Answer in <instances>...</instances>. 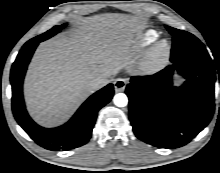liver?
Segmentation results:
<instances>
[{
  "mask_svg": "<svg viewBox=\"0 0 220 173\" xmlns=\"http://www.w3.org/2000/svg\"><path fill=\"white\" fill-rule=\"evenodd\" d=\"M141 28L134 16L96 15L84 18L80 31L42 42L24 82L30 115L44 126L67 119L96 91L92 80L128 64L132 33Z\"/></svg>",
  "mask_w": 220,
  "mask_h": 173,
  "instance_id": "1",
  "label": "liver"
}]
</instances>
